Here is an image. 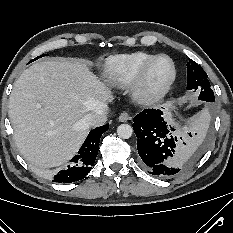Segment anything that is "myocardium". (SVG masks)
<instances>
[{
    "label": "myocardium",
    "mask_w": 233,
    "mask_h": 233,
    "mask_svg": "<svg viewBox=\"0 0 233 233\" xmlns=\"http://www.w3.org/2000/svg\"><path fill=\"white\" fill-rule=\"evenodd\" d=\"M166 59L171 66L169 77L159 86L149 88L147 85L148 75L153 66L160 60ZM177 76V70L174 61L167 55H156L146 62L130 85V93L134 101L139 104L150 105L160 101L171 89Z\"/></svg>",
    "instance_id": "f54148a6"
}]
</instances>
